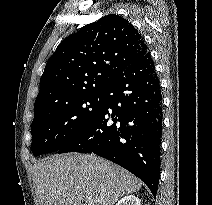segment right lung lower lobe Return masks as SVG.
<instances>
[{"instance_id":"obj_1","label":"right lung lower lobe","mask_w":212,"mask_h":205,"mask_svg":"<svg viewBox=\"0 0 212 205\" xmlns=\"http://www.w3.org/2000/svg\"><path fill=\"white\" fill-rule=\"evenodd\" d=\"M96 117L57 152L94 153L139 177L154 197L160 178L161 86L150 52L108 83Z\"/></svg>"}]
</instances>
